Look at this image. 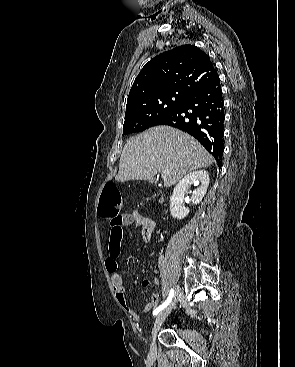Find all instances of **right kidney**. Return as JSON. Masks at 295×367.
Here are the masks:
<instances>
[{
    "instance_id": "1",
    "label": "right kidney",
    "mask_w": 295,
    "mask_h": 367,
    "mask_svg": "<svg viewBox=\"0 0 295 367\" xmlns=\"http://www.w3.org/2000/svg\"><path fill=\"white\" fill-rule=\"evenodd\" d=\"M192 183L198 187L191 192V201L193 204H199L209 185L208 172L205 170L193 171L176 185L170 198V212L173 218L181 220L189 214V209L184 206L183 200L185 192L188 191Z\"/></svg>"
}]
</instances>
